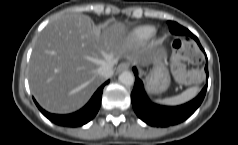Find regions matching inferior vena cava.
Returning <instances> with one entry per match:
<instances>
[{"label": "inferior vena cava", "instance_id": "1", "mask_svg": "<svg viewBox=\"0 0 238 145\" xmlns=\"http://www.w3.org/2000/svg\"><path fill=\"white\" fill-rule=\"evenodd\" d=\"M99 75L103 76L104 78H109L113 75V64H104L98 69Z\"/></svg>", "mask_w": 238, "mask_h": 145}]
</instances>
